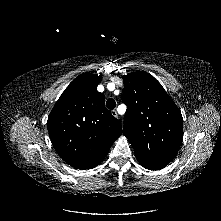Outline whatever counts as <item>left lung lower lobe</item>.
Wrapping results in <instances>:
<instances>
[{
  "mask_svg": "<svg viewBox=\"0 0 221 221\" xmlns=\"http://www.w3.org/2000/svg\"><path fill=\"white\" fill-rule=\"evenodd\" d=\"M139 163L146 169H149V170H159V169H162L164 168L165 166H160V165H153V164H147V163H143V162H140Z\"/></svg>",
  "mask_w": 221,
  "mask_h": 221,
  "instance_id": "left-lung-lower-lobe-1",
  "label": "left lung lower lobe"
}]
</instances>
